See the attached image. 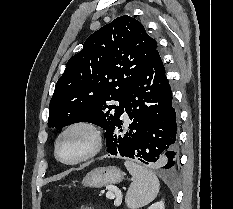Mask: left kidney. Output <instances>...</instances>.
Segmentation results:
<instances>
[{
  "instance_id": "5707ae66",
  "label": "left kidney",
  "mask_w": 233,
  "mask_h": 209,
  "mask_svg": "<svg viewBox=\"0 0 233 209\" xmlns=\"http://www.w3.org/2000/svg\"><path fill=\"white\" fill-rule=\"evenodd\" d=\"M148 209H165L162 201L152 204Z\"/></svg>"
}]
</instances>
